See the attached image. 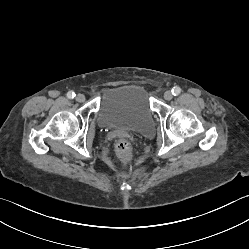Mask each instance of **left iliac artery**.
I'll use <instances>...</instances> for the list:
<instances>
[{
    "label": "left iliac artery",
    "mask_w": 249,
    "mask_h": 249,
    "mask_svg": "<svg viewBox=\"0 0 249 249\" xmlns=\"http://www.w3.org/2000/svg\"><path fill=\"white\" fill-rule=\"evenodd\" d=\"M180 93H181V88H180V87L176 86V87H174V88L172 89V94H173L174 96H177V95H179Z\"/></svg>",
    "instance_id": "44dca946"
}]
</instances>
